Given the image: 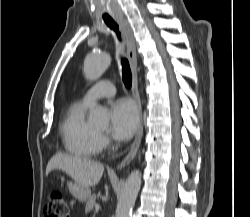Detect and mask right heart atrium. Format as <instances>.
Returning <instances> with one entry per match:
<instances>
[{"label":"right heart atrium","mask_w":250,"mask_h":217,"mask_svg":"<svg viewBox=\"0 0 250 217\" xmlns=\"http://www.w3.org/2000/svg\"><path fill=\"white\" fill-rule=\"evenodd\" d=\"M99 149L104 150L109 147V139L104 134H100L98 137Z\"/></svg>","instance_id":"right-heart-atrium-1"}]
</instances>
